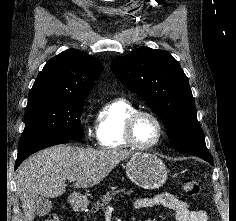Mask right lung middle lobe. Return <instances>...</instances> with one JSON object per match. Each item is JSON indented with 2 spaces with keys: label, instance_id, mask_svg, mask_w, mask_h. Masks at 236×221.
I'll use <instances>...</instances> for the list:
<instances>
[{
  "label": "right lung middle lobe",
  "instance_id": "dd1d6c3e",
  "mask_svg": "<svg viewBox=\"0 0 236 221\" xmlns=\"http://www.w3.org/2000/svg\"><path fill=\"white\" fill-rule=\"evenodd\" d=\"M85 98L29 97L18 148L37 141L82 138L80 117Z\"/></svg>",
  "mask_w": 236,
  "mask_h": 221
}]
</instances>
